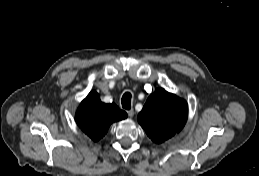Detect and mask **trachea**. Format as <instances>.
<instances>
[{
  "instance_id": "obj_1",
  "label": "trachea",
  "mask_w": 259,
  "mask_h": 176,
  "mask_svg": "<svg viewBox=\"0 0 259 176\" xmlns=\"http://www.w3.org/2000/svg\"><path fill=\"white\" fill-rule=\"evenodd\" d=\"M122 107L129 110L131 108V94L126 92L121 99Z\"/></svg>"
}]
</instances>
